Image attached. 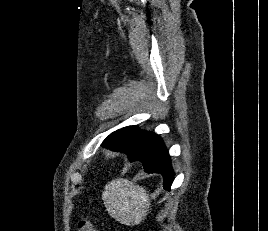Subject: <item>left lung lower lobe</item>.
Here are the masks:
<instances>
[{
    "instance_id": "left-lung-lower-lobe-1",
    "label": "left lung lower lobe",
    "mask_w": 268,
    "mask_h": 231,
    "mask_svg": "<svg viewBox=\"0 0 268 231\" xmlns=\"http://www.w3.org/2000/svg\"><path fill=\"white\" fill-rule=\"evenodd\" d=\"M104 147L106 142L103 143ZM128 155L131 162L141 161L147 173H160L164 177V188L170 189L173 181V169L171 168L170 156L161 138L155 135L142 147H128L119 151Z\"/></svg>"
}]
</instances>
